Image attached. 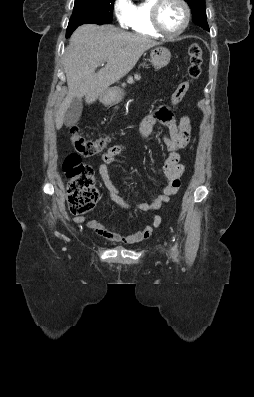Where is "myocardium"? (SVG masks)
Masks as SVG:
<instances>
[{
  "mask_svg": "<svg viewBox=\"0 0 254 397\" xmlns=\"http://www.w3.org/2000/svg\"><path fill=\"white\" fill-rule=\"evenodd\" d=\"M178 3L181 4L184 10V20L181 27L175 32H168L166 31L160 22V10L162 5L166 2V0H154L151 6V23L153 28L162 36L167 38H175L180 36L188 27L190 22V8L189 5L185 0H176Z\"/></svg>",
  "mask_w": 254,
  "mask_h": 397,
  "instance_id": "obj_1",
  "label": "myocardium"
}]
</instances>
